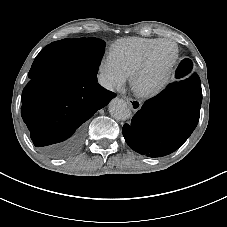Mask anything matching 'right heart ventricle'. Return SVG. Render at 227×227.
<instances>
[{"label":"right heart ventricle","instance_id":"e07e8e85","mask_svg":"<svg viewBox=\"0 0 227 227\" xmlns=\"http://www.w3.org/2000/svg\"><path fill=\"white\" fill-rule=\"evenodd\" d=\"M158 40L160 39L142 37L119 39L111 46L109 58L129 75L143 59L149 48Z\"/></svg>","mask_w":227,"mask_h":227}]
</instances>
